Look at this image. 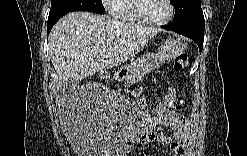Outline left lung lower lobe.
<instances>
[{
  "label": "left lung lower lobe",
  "mask_w": 247,
  "mask_h": 156,
  "mask_svg": "<svg viewBox=\"0 0 247 156\" xmlns=\"http://www.w3.org/2000/svg\"><path fill=\"white\" fill-rule=\"evenodd\" d=\"M204 23L203 12L200 9L181 22H172L170 25H163L161 27L193 39L201 52L204 40Z\"/></svg>",
  "instance_id": "1"
}]
</instances>
